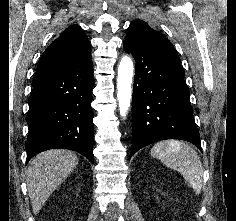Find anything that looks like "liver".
<instances>
[{
    "mask_svg": "<svg viewBox=\"0 0 236 221\" xmlns=\"http://www.w3.org/2000/svg\"><path fill=\"white\" fill-rule=\"evenodd\" d=\"M77 164V156L64 149H51L34 157L27 170L26 183L35 215Z\"/></svg>",
    "mask_w": 236,
    "mask_h": 221,
    "instance_id": "1",
    "label": "liver"
}]
</instances>
